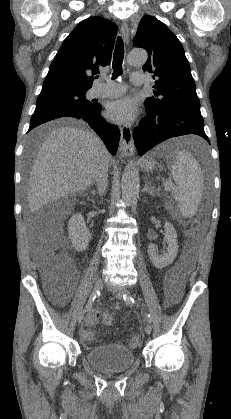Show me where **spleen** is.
Wrapping results in <instances>:
<instances>
[{
	"label": "spleen",
	"mask_w": 231,
	"mask_h": 419,
	"mask_svg": "<svg viewBox=\"0 0 231 419\" xmlns=\"http://www.w3.org/2000/svg\"><path fill=\"white\" fill-rule=\"evenodd\" d=\"M175 160L171 174L176 183L174 199L185 218L193 217L203 192V175L197 160L186 150H174Z\"/></svg>",
	"instance_id": "spleen-1"
}]
</instances>
